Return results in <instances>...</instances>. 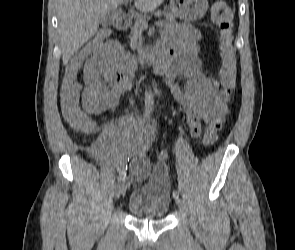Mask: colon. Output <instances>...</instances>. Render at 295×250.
Here are the masks:
<instances>
[{
  "instance_id": "colon-1",
  "label": "colon",
  "mask_w": 295,
  "mask_h": 250,
  "mask_svg": "<svg viewBox=\"0 0 295 250\" xmlns=\"http://www.w3.org/2000/svg\"><path fill=\"white\" fill-rule=\"evenodd\" d=\"M211 14L213 21L219 28L218 48L222 59L220 81L225 91L232 94L236 83V51L234 47V23L233 14L223 1L213 3ZM108 37L106 30H101L86 46L83 51L88 54L100 53ZM81 85L77 78L66 77L63 81L60 93V103L64 119L76 130L88 132L94 127L89 115L97 113L96 108L88 109L84 106L81 97ZM218 124L209 125L203 137L207 145L217 140Z\"/></svg>"
}]
</instances>
